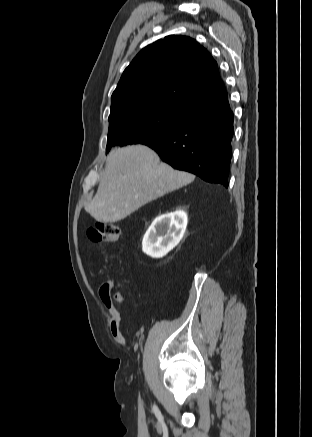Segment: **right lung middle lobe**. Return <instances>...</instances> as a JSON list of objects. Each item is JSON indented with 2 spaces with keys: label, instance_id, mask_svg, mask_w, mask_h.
<instances>
[{
  "label": "right lung middle lobe",
  "instance_id": "dd1d6c3e",
  "mask_svg": "<svg viewBox=\"0 0 312 437\" xmlns=\"http://www.w3.org/2000/svg\"><path fill=\"white\" fill-rule=\"evenodd\" d=\"M193 111L162 102L123 106L110 113L106 151L119 144L144 143L172 133L184 124Z\"/></svg>",
  "mask_w": 312,
  "mask_h": 437
}]
</instances>
